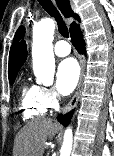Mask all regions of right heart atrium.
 Listing matches in <instances>:
<instances>
[{
  "instance_id": "obj_1",
  "label": "right heart atrium",
  "mask_w": 114,
  "mask_h": 156,
  "mask_svg": "<svg viewBox=\"0 0 114 156\" xmlns=\"http://www.w3.org/2000/svg\"><path fill=\"white\" fill-rule=\"evenodd\" d=\"M41 98L48 108H54L59 102V96L52 87H41Z\"/></svg>"
}]
</instances>
